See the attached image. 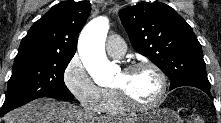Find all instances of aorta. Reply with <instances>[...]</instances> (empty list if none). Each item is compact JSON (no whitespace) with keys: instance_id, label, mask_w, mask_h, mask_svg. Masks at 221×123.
I'll return each instance as SVG.
<instances>
[{"instance_id":"obj_1","label":"aorta","mask_w":221,"mask_h":123,"mask_svg":"<svg viewBox=\"0 0 221 123\" xmlns=\"http://www.w3.org/2000/svg\"><path fill=\"white\" fill-rule=\"evenodd\" d=\"M108 30V18L99 16L83 28L78 42V52L82 63L94 82L100 86H107L112 82L116 69L105 53Z\"/></svg>"}]
</instances>
